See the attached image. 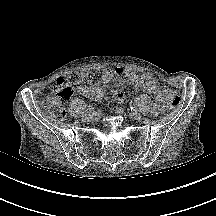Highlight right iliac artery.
<instances>
[{"instance_id": "82829eb1", "label": "right iliac artery", "mask_w": 216, "mask_h": 216, "mask_svg": "<svg viewBox=\"0 0 216 216\" xmlns=\"http://www.w3.org/2000/svg\"><path fill=\"white\" fill-rule=\"evenodd\" d=\"M87 113H91V114H94V108L92 106H89L87 109H86Z\"/></svg>"}]
</instances>
